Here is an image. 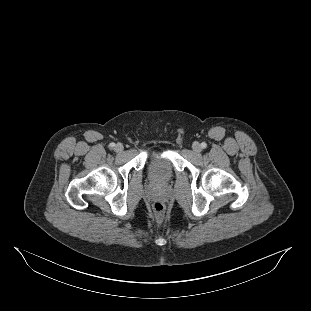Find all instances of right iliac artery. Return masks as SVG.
<instances>
[{
  "label": "right iliac artery",
  "mask_w": 311,
  "mask_h": 311,
  "mask_svg": "<svg viewBox=\"0 0 311 311\" xmlns=\"http://www.w3.org/2000/svg\"><path fill=\"white\" fill-rule=\"evenodd\" d=\"M109 147H110V148H114V147H115V143H110V144H109Z\"/></svg>",
  "instance_id": "82829eb1"
}]
</instances>
